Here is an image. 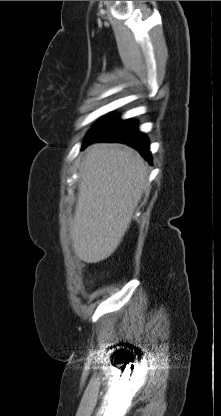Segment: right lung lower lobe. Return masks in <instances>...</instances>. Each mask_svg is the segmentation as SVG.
<instances>
[{
  "label": "right lung lower lobe",
  "mask_w": 221,
  "mask_h": 416,
  "mask_svg": "<svg viewBox=\"0 0 221 416\" xmlns=\"http://www.w3.org/2000/svg\"><path fill=\"white\" fill-rule=\"evenodd\" d=\"M135 120H120L118 116L110 118L100 128L87 135L82 148L96 141L122 142L137 150L151 163L149 141L138 131Z\"/></svg>",
  "instance_id": "1"
}]
</instances>
